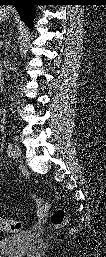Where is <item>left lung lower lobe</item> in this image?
Masks as SVG:
<instances>
[{
  "instance_id": "left-lung-lower-lobe-1",
  "label": "left lung lower lobe",
  "mask_w": 106,
  "mask_h": 257,
  "mask_svg": "<svg viewBox=\"0 0 106 257\" xmlns=\"http://www.w3.org/2000/svg\"><path fill=\"white\" fill-rule=\"evenodd\" d=\"M4 0H0V2H3ZM11 2V5H14L17 9L18 13L22 17L23 21L30 27L31 21L33 17V5L31 2L32 0H9ZM4 4V3H2Z\"/></svg>"
}]
</instances>
